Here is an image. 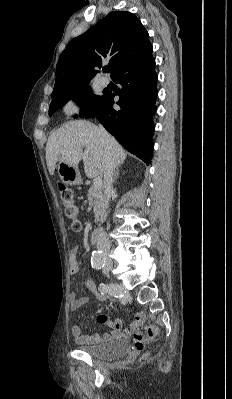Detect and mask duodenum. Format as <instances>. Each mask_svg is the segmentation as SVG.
I'll return each instance as SVG.
<instances>
[{
    "mask_svg": "<svg viewBox=\"0 0 232 399\" xmlns=\"http://www.w3.org/2000/svg\"><path fill=\"white\" fill-rule=\"evenodd\" d=\"M100 234H101V229H100V228L94 229V230L91 232L90 237H89L90 242H91L92 244H96V243L99 241Z\"/></svg>",
    "mask_w": 232,
    "mask_h": 399,
    "instance_id": "410a0bca",
    "label": "duodenum"
}]
</instances>
